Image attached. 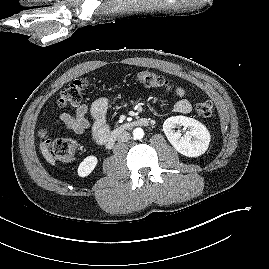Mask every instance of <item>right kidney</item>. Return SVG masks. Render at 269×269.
Masks as SVG:
<instances>
[{
  "label": "right kidney",
  "mask_w": 269,
  "mask_h": 269,
  "mask_svg": "<svg viewBox=\"0 0 269 269\" xmlns=\"http://www.w3.org/2000/svg\"><path fill=\"white\" fill-rule=\"evenodd\" d=\"M98 160L95 156H87L78 167V175L81 177L88 176L96 167Z\"/></svg>",
  "instance_id": "1"
}]
</instances>
